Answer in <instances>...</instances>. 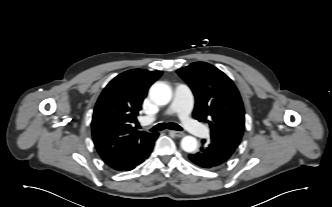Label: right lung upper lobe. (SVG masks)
Here are the masks:
<instances>
[{
    "label": "right lung upper lobe",
    "mask_w": 332,
    "mask_h": 207,
    "mask_svg": "<svg viewBox=\"0 0 332 207\" xmlns=\"http://www.w3.org/2000/svg\"><path fill=\"white\" fill-rule=\"evenodd\" d=\"M162 71L133 69L116 76L102 91L93 113L92 136L103 161L123 169L142 157L156 133L138 131L136 116L149 87Z\"/></svg>",
    "instance_id": "1"
}]
</instances>
